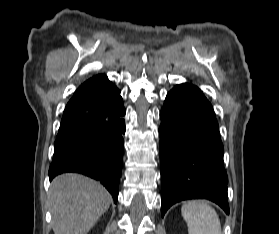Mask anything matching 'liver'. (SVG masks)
<instances>
[{
  "instance_id": "obj_1",
  "label": "liver",
  "mask_w": 279,
  "mask_h": 234,
  "mask_svg": "<svg viewBox=\"0 0 279 234\" xmlns=\"http://www.w3.org/2000/svg\"><path fill=\"white\" fill-rule=\"evenodd\" d=\"M112 198L98 182L79 174H62L50 187L54 234H87L104 214Z\"/></svg>"
}]
</instances>
